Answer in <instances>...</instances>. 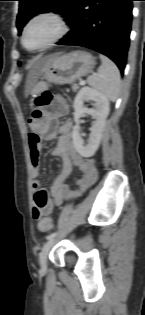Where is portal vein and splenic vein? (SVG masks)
<instances>
[{
  "instance_id": "obj_1",
  "label": "portal vein and splenic vein",
  "mask_w": 145,
  "mask_h": 315,
  "mask_svg": "<svg viewBox=\"0 0 145 315\" xmlns=\"http://www.w3.org/2000/svg\"><path fill=\"white\" fill-rule=\"evenodd\" d=\"M79 84H80L81 86H83V85H85V81H84V80H81V81L79 82Z\"/></svg>"
}]
</instances>
